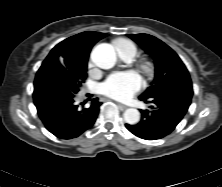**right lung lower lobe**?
<instances>
[{
  "label": "right lung lower lobe",
  "mask_w": 222,
  "mask_h": 187,
  "mask_svg": "<svg viewBox=\"0 0 222 187\" xmlns=\"http://www.w3.org/2000/svg\"><path fill=\"white\" fill-rule=\"evenodd\" d=\"M78 91L79 86L58 62L39 69L36 75L33 99L37 113L58 138L78 137L97 119L102 103L95 98L88 108H81L75 103Z\"/></svg>",
  "instance_id": "1"
}]
</instances>
